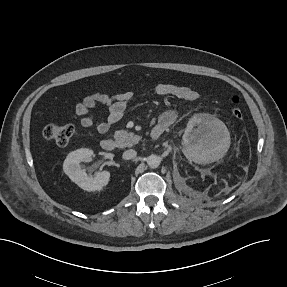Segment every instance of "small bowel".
Returning <instances> with one entry per match:
<instances>
[{
  "label": "small bowel",
  "instance_id": "small-bowel-1",
  "mask_svg": "<svg viewBox=\"0 0 287 287\" xmlns=\"http://www.w3.org/2000/svg\"><path fill=\"white\" fill-rule=\"evenodd\" d=\"M152 92L159 96H169L187 102L196 101L199 97L198 92L190 86L160 83L153 87ZM133 98V92L126 91L115 95L96 92L87 95L74 107V117L84 128H94L97 132L104 134L116 124L124 115L128 102ZM107 108L108 114L105 120L97 121L91 112L97 106ZM177 119V112L168 109L162 112L157 120L156 126H163L164 130L172 126Z\"/></svg>",
  "mask_w": 287,
  "mask_h": 287
}]
</instances>
